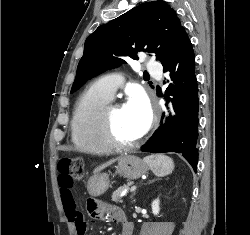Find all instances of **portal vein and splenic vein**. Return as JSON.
<instances>
[{"mask_svg":"<svg viewBox=\"0 0 250 235\" xmlns=\"http://www.w3.org/2000/svg\"><path fill=\"white\" fill-rule=\"evenodd\" d=\"M135 190H136V186H132L131 189H130L131 192H134Z\"/></svg>","mask_w":250,"mask_h":235,"instance_id":"1","label":"portal vein and splenic vein"}]
</instances>
